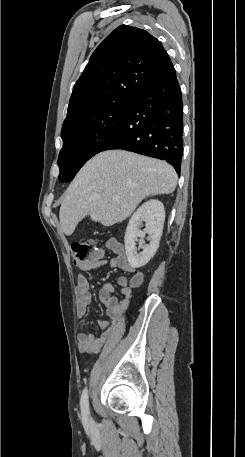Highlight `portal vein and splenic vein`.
Segmentation results:
<instances>
[{
    "instance_id": "1",
    "label": "portal vein and splenic vein",
    "mask_w": 245,
    "mask_h": 457,
    "mask_svg": "<svg viewBox=\"0 0 245 457\" xmlns=\"http://www.w3.org/2000/svg\"><path fill=\"white\" fill-rule=\"evenodd\" d=\"M113 200H115V202H119V196H117V194H115V196H113Z\"/></svg>"
}]
</instances>
